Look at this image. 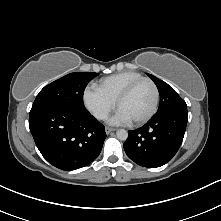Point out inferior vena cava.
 Returning <instances> with one entry per match:
<instances>
[{
    "instance_id": "602c4592",
    "label": "inferior vena cava",
    "mask_w": 221,
    "mask_h": 221,
    "mask_svg": "<svg viewBox=\"0 0 221 221\" xmlns=\"http://www.w3.org/2000/svg\"><path fill=\"white\" fill-rule=\"evenodd\" d=\"M94 115L97 119H106L108 117V112L103 111V110H99V111L95 112Z\"/></svg>"
}]
</instances>
